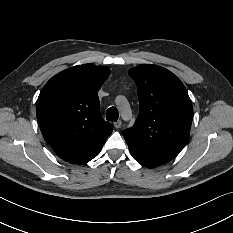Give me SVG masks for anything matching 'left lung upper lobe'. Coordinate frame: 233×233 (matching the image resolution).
<instances>
[{
	"instance_id": "left-lung-upper-lobe-1",
	"label": "left lung upper lobe",
	"mask_w": 233,
	"mask_h": 233,
	"mask_svg": "<svg viewBox=\"0 0 233 233\" xmlns=\"http://www.w3.org/2000/svg\"><path fill=\"white\" fill-rule=\"evenodd\" d=\"M136 82L140 112L125 140L157 154L174 158L186 146L193 118L187 90L169 70L143 64L129 70Z\"/></svg>"
}]
</instances>
